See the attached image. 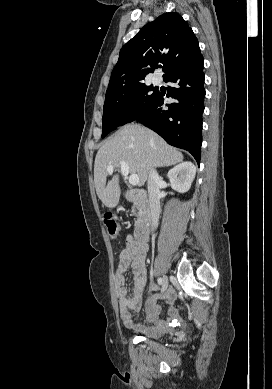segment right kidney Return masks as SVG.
Returning <instances> with one entry per match:
<instances>
[{
	"mask_svg": "<svg viewBox=\"0 0 272 389\" xmlns=\"http://www.w3.org/2000/svg\"><path fill=\"white\" fill-rule=\"evenodd\" d=\"M195 174L196 167L193 163L187 161L172 168L168 172L167 177L169 178L171 187L174 190L180 193H185L190 189L195 178Z\"/></svg>",
	"mask_w": 272,
	"mask_h": 389,
	"instance_id": "right-kidney-1",
	"label": "right kidney"
}]
</instances>
